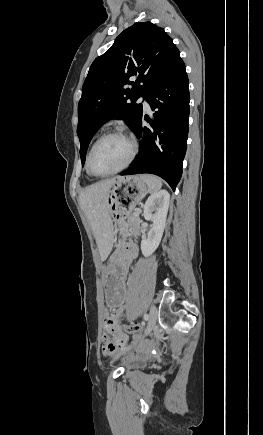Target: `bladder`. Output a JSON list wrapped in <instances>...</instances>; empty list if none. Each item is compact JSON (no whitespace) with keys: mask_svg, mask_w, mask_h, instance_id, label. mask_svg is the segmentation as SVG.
<instances>
[{"mask_svg":"<svg viewBox=\"0 0 263 435\" xmlns=\"http://www.w3.org/2000/svg\"><path fill=\"white\" fill-rule=\"evenodd\" d=\"M144 359L140 357H131L126 360L125 364L127 367H135L144 363Z\"/></svg>","mask_w":263,"mask_h":435,"instance_id":"1","label":"bladder"}]
</instances>
